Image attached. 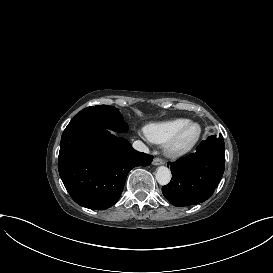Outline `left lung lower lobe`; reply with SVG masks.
Listing matches in <instances>:
<instances>
[{
	"label": "left lung lower lobe",
	"mask_w": 273,
	"mask_h": 273,
	"mask_svg": "<svg viewBox=\"0 0 273 273\" xmlns=\"http://www.w3.org/2000/svg\"><path fill=\"white\" fill-rule=\"evenodd\" d=\"M172 180L162 187L164 197L174 206H189L207 200L220 182L225 166L221 134L202 141L195 153L168 163Z\"/></svg>",
	"instance_id": "obj_1"
}]
</instances>
